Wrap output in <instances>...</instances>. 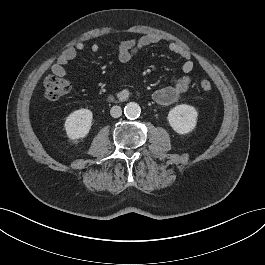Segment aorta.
I'll return each instance as SVG.
<instances>
[{"label":"aorta","mask_w":265,"mask_h":265,"mask_svg":"<svg viewBox=\"0 0 265 265\" xmlns=\"http://www.w3.org/2000/svg\"><path fill=\"white\" fill-rule=\"evenodd\" d=\"M141 108L137 103L130 102L124 108V114L129 119H135L139 117Z\"/></svg>","instance_id":"obj_1"}]
</instances>
